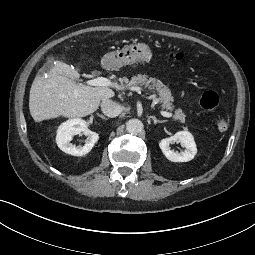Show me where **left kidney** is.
Returning <instances> with one entry per match:
<instances>
[{
	"instance_id": "1",
	"label": "left kidney",
	"mask_w": 255,
	"mask_h": 255,
	"mask_svg": "<svg viewBox=\"0 0 255 255\" xmlns=\"http://www.w3.org/2000/svg\"><path fill=\"white\" fill-rule=\"evenodd\" d=\"M173 142L181 143V145L185 148V151L178 153L174 150H171L170 144ZM159 147L166 158L172 162L190 161L195 157L197 153L193 135L187 131H179L174 136L162 139L159 143Z\"/></svg>"
}]
</instances>
